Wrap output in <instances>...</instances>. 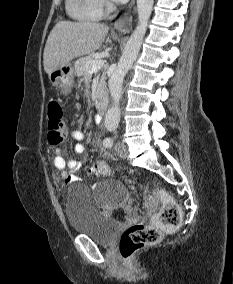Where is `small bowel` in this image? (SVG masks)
I'll list each match as a JSON object with an SVG mask.
<instances>
[{"label":"small bowel","mask_w":233,"mask_h":284,"mask_svg":"<svg viewBox=\"0 0 233 284\" xmlns=\"http://www.w3.org/2000/svg\"><path fill=\"white\" fill-rule=\"evenodd\" d=\"M71 135L77 142L74 147L75 152L79 155H86L87 147L83 143V140L85 138L84 133L79 130H75L72 131ZM53 163L55 168L59 171V178H61L66 184L77 180L75 174L83 165L82 161L67 159L63 152L59 149L55 151ZM88 174L90 176L100 175V173L93 166L89 169Z\"/></svg>","instance_id":"obj_1"}]
</instances>
